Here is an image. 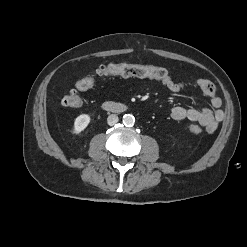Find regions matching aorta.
Here are the masks:
<instances>
[{
    "label": "aorta",
    "instance_id": "762f6f07",
    "mask_svg": "<svg viewBox=\"0 0 247 247\" xmlns=\"http://www.w3.org/2000/svg\"><path fill=\"white\" fill-rule=\"evenodd\" d=\"M134 123H135V118H134L133 115H131V114H125L123 116V124L125 126L131 127V126L134 125Z\"/></svg>",
    "mask_w": 247,
    "mask_h": 247
}]
</instances>
